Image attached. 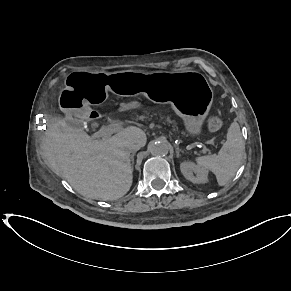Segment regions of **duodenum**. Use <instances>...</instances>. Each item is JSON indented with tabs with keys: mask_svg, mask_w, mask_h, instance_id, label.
<instances>
[{
	"mask_svg": "<svg viewBox=\"0 0 291 291\" xmlns=\"http://www.w3.org/2000/svg\"><path fill=\"white\" fill-rule=\"evenodd\" d=\"M92 117H94V118H99V115H98L97 113H93V114H92Z\"/></svg>",
	"mask_w": 291,
	"mask_h": 291,
	"instance_id": "obj_1",
	"label": "duodenum"
}]
</instances>
